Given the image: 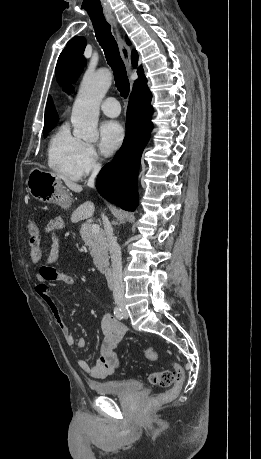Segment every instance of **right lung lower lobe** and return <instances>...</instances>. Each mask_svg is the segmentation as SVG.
<instances>
[{"label":"right lung lower lobe","mask_w":261,"mask_h":459,"mask_svg":"<svg viewBox=\"0 0 261 459\" xmlns=\"http://www.w3.org/2000/svg\"><path fill=\"white\" fill-rule=\"evenodd\" d=\"M151 98L148 88L131 93L123 144L113 161L101 169L96 181L102 197L127 211H134L138 205L137 173L152 130Z\"/></svg>","instance_id":"right-lung-lower-lobe-1"}]
</instances>
